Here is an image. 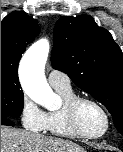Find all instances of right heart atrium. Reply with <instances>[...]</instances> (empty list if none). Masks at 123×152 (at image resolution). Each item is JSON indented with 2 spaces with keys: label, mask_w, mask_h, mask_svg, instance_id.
Masks as SVG:
<instances>
[{
  "label": "right heart atrium",
  "mask_w": 123,
  "mask_h": 152,
  "mask_svg": "<svg viewBox=\"0 0 123 152\" xmlns=\"http://www.w3.org/2000/svg\"><path fill=\"white\" fill-rule=\"evenodd\" d=\"M20 119L24 128L31 132L45 131L47 113L27 96H24L21 102Z\"/></svg>",
  "instance_id": "right-heart-atrium-1"
}]
</instances>
